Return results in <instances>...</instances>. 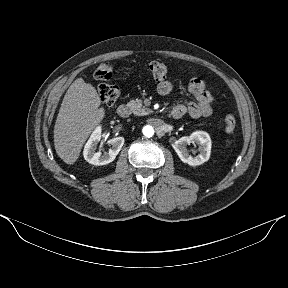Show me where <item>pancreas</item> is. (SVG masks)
Returning a JSON list of instances; mask_svg holds the SVG:
<instances>
[{"label": "pancreas", "mask_w": 288, "mask_h": 288, "mask_svg": "<svg viewBox=\"0 0 288 288\" xmlns=\"http://www.w3.org/2000/svg\"><path fill=\"white\" fill-rule=\"evenodd\" d=\"M128 107L130 108V110L133 112V114L138 115V116H143V115H148L150 113H152V111L143 106L142 100H130L127 103Z\"/></svg>", "instance_id": "cf45deb5"}]
</instances>
